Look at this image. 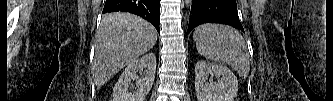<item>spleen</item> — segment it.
<instances>
[{"label":"spleen","instance_id":"1","mask_svg":"<svg viewBox=\"0 0 333 101\" xmlns=\"http://www.w3.org/2000/svg\"><path fill=\"white\" fill-rule=\"evenodd\" d=\"M193 39L203 57L230 65L243 79L248 76L250 56L244 38L236 29L203 24L195 29Z\"/></svg>","mask_w":333,"mask_h":101}]
</instances>
